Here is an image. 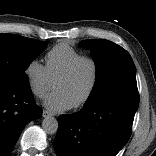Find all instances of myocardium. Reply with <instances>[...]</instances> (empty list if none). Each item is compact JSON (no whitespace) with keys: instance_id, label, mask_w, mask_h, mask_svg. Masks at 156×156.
Returning <instances> with one entry per match:
<instances>
[{"instance_id":"obj_1","label":"myocardium","mask_w":156,"mask_h":156,"mask_svg":"<svg viewBox=\"0 0 156 156\" xmlns=\"http://www.w3.org/2000/svg\"><path fill=\"white\" fill-rule=\"evenodd\" d=\"M84 62H88L92 65L93 68V79H92V83L87 91V93L83 96V98H81L77 103L73 104L72 107L77 109V108H81L84 105H86L91 98L93 97L98 83H99V79H100V67L98 62L89 56H81L79 58H77L76 60H74L69 67L63 72L61 73L56 80L54 81V85L59 82V81H63V80H67L69 79L77 70V68Z\"/></svg>"}]
</instances>
